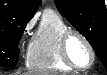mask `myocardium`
I'll list each match as a JSON object with an SVG mask.
<instances>
[{"label": "myocardium", "instance_id": "myocardium-1", "mask_svg": "<svg viewBox=\"0 0 107 75\" xmlns=\"http://www.w3.org/2000/svg\"><path fill=\"white\" fill-rule=\"evenodd\" d=\"M73 36L79 37L86 44V46L88 47V49L90 51L91 61L86 66L77 65L71 59V57L69 55L68 44H69L70 38ZM60 53H61V57L66 65H68L72 69L79 70V71H86V70L91 69L96 61V52H95V49H94L93 45L91 44V42L88 40V38L83 33H81L80 31L74 30V29H68L62 34L61 39H60Z\"/></svg>", "mask_w": 107, "mask_h": 75}]
</instances>
